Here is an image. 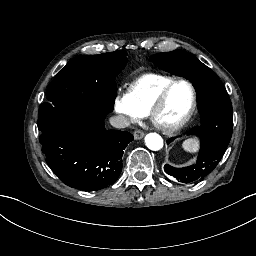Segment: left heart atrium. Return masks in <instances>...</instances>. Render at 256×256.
Returning a JSON list of instances; mask_svg holds the SVG:
<instances>
[{"instance_id": "1", "label": "left heart atrium", "mask_w": 256, "mask_h": 256, "mask_svg": "<svg viewBox=\"0 0 256 256\" xmlns=\"http://www.w3.org/2000/svg\"><path fill=\"white\" fill-rule=\"evenodd\" d=\"M152 122H153V124H154L156 127L162 129V124H161L159 121H157L155 118H152Z\"/></svg>"}]
</instances>
